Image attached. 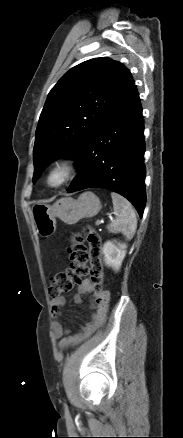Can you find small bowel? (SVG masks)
Instances as JSON below:
<instances>
[{
    "label": "small bowel",
    "mask_w": 183,
    "mask_h": 438,
    "mask_svg": "<svg viewBox=\"0 0 183 438\" xmlns=\"http://www.w3.org/2000/svg\"><path fill=\"white\" fill-rule=\"evenodd\" d=\"M88 293H93V301L91 305L93 312L91 314L90 321L82 325L80 331L76 335L63 339L62 344L65 347H70L86 339L92 335L106 320L109 310L110 293L108 291L96 293L94 291L92 282L88 279H85L80 282L77 287V292L73 297L74 302L80 304L82 302L81 296ZM65 304L66 301L63 297H56L51 300V311L55 318L60 315V309L65 307ZM52 327L57 338H62L70 332L68 329L64 328L58 320L53 321Z\"/></svg>",
    "instance_id": "small-bowel-1"
}]
</instances>
